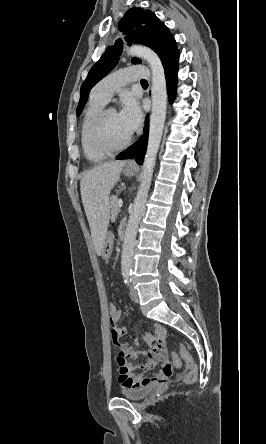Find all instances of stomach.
I'll return each mask as SVG.
<instances>
[{
    "mask_svg": "<svg viewBox=\"0 0 266 444\" xmlns=\"http://www.w3.org/2000/svg\"><path fill=\"white\" fill-rule=\"evenodd\" d=\"M136 168H128L126 167L123 170V173L125 176L127 177H132L136 174ZM113 235L111 232H107L106 233V237L103 243V247H102V255L106 258H108L111 254V250H112V246H113Z\"/></svg>",
    "mask_w": 266,
    "mask_h": 444,
    "instance_id": "stomach-1",
    "label": "stomach"
}]
</instances>
